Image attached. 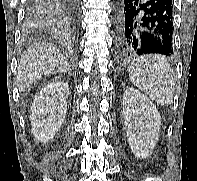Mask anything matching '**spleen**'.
<instances>
[{
  "mask_svg": "<svg viewBox=\"0 0 197 181\" xmlns=\"http://www.w3.org/2000/svg\"><path fill=\"white\" fill-rule=\"evenodd\" d=\"M131 82L161 105L172 103L174 73L171 65L159 55L137 58L128 68Z\"/></svg>",
  "mask_w": 197,
  "mask_h": 181,
  "instance_id": "3e777b00",
  "label": "spleen"
}]
</instances>
